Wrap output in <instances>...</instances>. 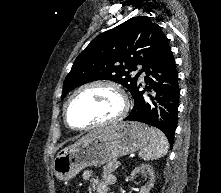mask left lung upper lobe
<instances>
[{
	"label": "left lung upper lobe",
	"mask_w": 221,
	"mask_h": 193,
	"mask_svg": "<svg viewBox=\"0 0 221 193\" xmlns=\"http://www.w3.org/2000/svg\"><path fill=\"white\" fill-rule=\"evenodd\" d=\"M167 42L159 25L147 16L133 17L95 37L73 63L63 84V99L69 91L85 83L109 79L132 94L138 85L135 71L159 53Z\"/></svg>",
	"instance_id": "left-lung-upper-lobe-1"
}]
</instances>
